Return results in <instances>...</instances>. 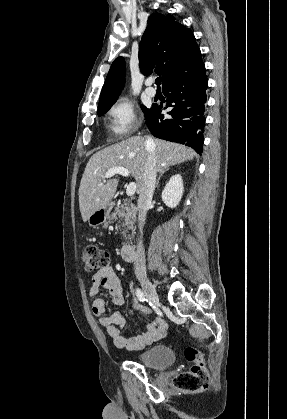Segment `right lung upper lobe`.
<instances>
[{
	"instance_id": "cb5924a9",
	"label": "right lung upper lobe",
	"mask_w": 287,
	"mask_h": 419,
	"mask_svg": "<svg viewBox=\"0 0 287 419\" xmlns=\"http://www.w3.org/2000/svg\"><path fill=\"white\" fill-rule=\"evenodd\" d=\"M142 73L162 75V85L197 73L204 68L200 49L190 29L171 15L152 14L139 50ZM125 61L114 60L102 87L98 109L114 104L123 88Z\"/></svg>"
}]
</instances>
